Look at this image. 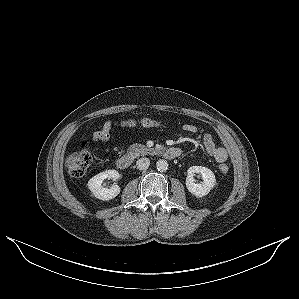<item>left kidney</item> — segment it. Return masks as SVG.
<instances>
[{"label":"left kidney","instance_id":"left-kidney-1","mask_svg":"<svg viewBox=\"0 0 299 299\" xmlns=\"http://www.w3.org/2000/svg\"><path fill=\"white\" fill-rule=\"evenodd\" d=\"M195 173H200L203 177V182L196 184L194 181ZM216 183L214 173L202 166H192L187 170L186 187L188 191L197 196L203 197L207 195Z\"/></svg>","mask_w":299,"mask_h":299}]
</instances>
